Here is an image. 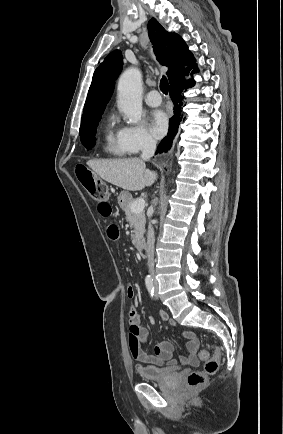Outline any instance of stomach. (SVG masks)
I'll return each instance as SVG.
<instances>
[{"label": "stomach", "mask_w": 283, "mask_h": 434, "mask_svg": "<svg viewBox=\"0 0 283 434\" xmlns=\"http://www.w3.org/2000/svg\"><path fill=\"white\" fill-rule=\"evenodd\" d=\"M132 201V196L128 191H122L118 196V204L124 208Z\"/></svg>", "instance_id": "obj_1"}]
</instances>
